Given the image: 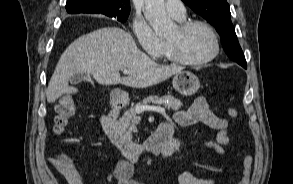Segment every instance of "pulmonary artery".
I'll return each mask as SVG.
<instances>
[{
	"instance_id": "obj_1",
	"label": "pulmonary artery",
	"mask_w": 293,
	"mask_h": 184,
	"mask_svg": "<svg viewBox=\"0 0 293 184\" xmlns=\"http://www.w3.org/2000/svg\"><path fill=\"white\" fill-rule=\"evenodd\" d=\"M165 7L171 17L177 20L185 18L186 9L181 0H167Z\"/></svg>"
}]
</instances>
